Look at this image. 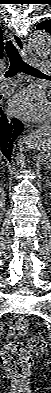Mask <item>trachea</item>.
Returning a JSON list of instances; mask_svg holds the SVG:
<instances>
[{"instance_id":"obj_1","label":"trachea","mask_w":51,"mask_h":393,"mask_svg":"<svg viewBox=\"0 0 51 393\" xmlns=\"http://www.w3.org/2000/svg\"><path fill=\"white\" fill-rule=\"evenodd\" d=\"M6 53L10 60V66L8 71L5 73V77H14L18 72H23L24 74L31 76H42L44 75L38 69L25 63L16 46L13 44L12 40H8L5 45Z\"/></svg>"}]
</instances>
